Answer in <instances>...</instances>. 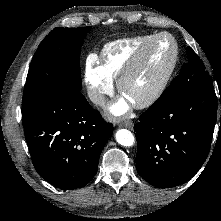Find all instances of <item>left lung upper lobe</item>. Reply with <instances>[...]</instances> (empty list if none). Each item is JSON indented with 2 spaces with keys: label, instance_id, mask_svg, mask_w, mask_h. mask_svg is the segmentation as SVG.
Returning a JSON list of instances; mask_svg holds the SVG:
<instances>
[{
  "label": "left lung upper lobe",
  "instance_id": "left-lung-upper-lobe-1",
  "mask_svg": "<svg viewBox=\"0 0 221 221\" xmlns=\"http://www.w3.org/2000/svg\"><path fill=\"white\" fill-rule=\"evenodd\" d=\"M188 62L184 64L180 74L175 77L170 86L163 92V95H171L188 89L196 84H212L213 80L201 59L191 47L187 50Z\"/></svg>",
  "mask_w": 221,
  "mask_h": 221
}]
</instances>
